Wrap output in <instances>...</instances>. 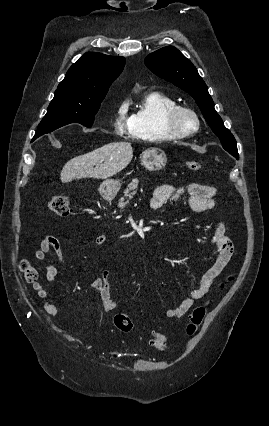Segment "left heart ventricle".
<instances>
[{"label": "left heart ventricle", "mask_w": 269, "mask_h": 426, "mask_svg": "<svg viewBox=\"0 0 269 426\" xmlns=\"http://www.w3.org/2000/svg\"><path fill=\"white\" fill-rule=\"evenodd\" d=\"M180 122L186 128H193L194 127V121L188 115H183L180 119Z\"/></svg>", "instance_id": "left-heart-ventricle-1"}]
</instances>
